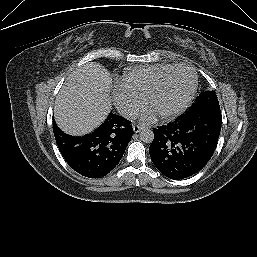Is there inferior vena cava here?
Returning <instances> with one entry per match:
<instances>
[{
  "label": "inferior vena cava",
  "instance_id": "obj_1",
  "mask_svg": "<svg viewBox=\"0 0 257 257\" xmlns=\"http://www.w3.org/2000/svg\"><path fill=\"white\" fill-rule=\"evenodd\" d=\"M120 114L130 120H135L139 115V110L135 107H124L120 110Z\"/></svg>",
  "mask_w": 257,
  "mask_h": 257
}]
</instances>
